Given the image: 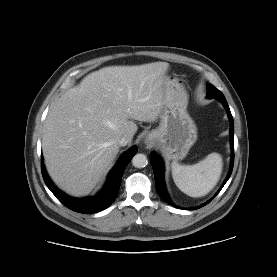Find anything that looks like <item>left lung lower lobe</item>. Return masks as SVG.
<instances>
[{"label": "left lung lower lobe", "mask_w": 277, "mask_h": 277, "mask_svg": "<svg viewBox=\"0 0 277 277\" xmlns=\"http://www.w3.org/2000/svg\"><path fill=\"white\" fill-rule=\"evenodd\" d=\"M220 102L225 107V109L227 111V114H228V117L230 119V135H231L230 143H231V149H232L231 167H230L229 174L227 175V177H226V179H225V181L222 185V187H223L231 176L232 169H233V164H234V144H233V140H234V121H233V117H232V114L230 112L227 101L222 100ZM150 161H151V164H152V167H153L155 182H156V190H157L159 196L167 204H170V205H172L176 208H179L175 204H173V202L171 201V199H170V197L167 193V190H166V187H165V181H164V164H163V161H162L161 157L157 153L152 152L150 154ZM222 187L219 189V191L217 193L220 192ZM211 200H209L208 202H206L205 204H203L199 207L192 208V209H189V210H194V209H197V208H201V207L205 206L206 204H208Z\"/></svg>", "instance_id": "obj_1"}]
</instances>
